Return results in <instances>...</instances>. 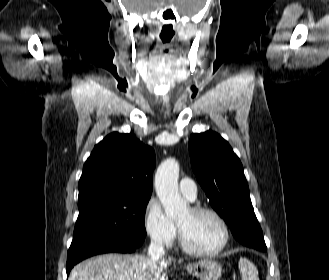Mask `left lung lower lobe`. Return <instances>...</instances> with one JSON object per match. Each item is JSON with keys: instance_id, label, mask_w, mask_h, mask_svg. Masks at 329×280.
Here are the masks:
<instances>
[{"instance_id": "1", "label": "left lung lower lobe", "mask_w": 329, "mask_h": 280, "mask_svg": "<svg viewBox=\"0 0 329 280\" xmlns=\"http://www.w3.org/2000/svg\"><path fill=\"white\" fill-rule=\"evenodd\" d=\"M262 230L259 226V224H254L253 226L248 227L247 229H238L233 235L234 237L240 241L244 236H247L248 234H255V233H260ZM262 251H266L267 247L263 248H256Z\"/></svg>"}]
</instances>
